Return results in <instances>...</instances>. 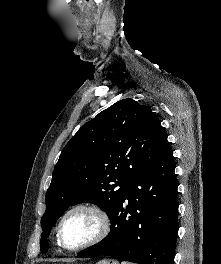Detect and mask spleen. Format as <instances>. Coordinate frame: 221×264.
I'll list each match as a JSON object with an SVG mask.
<instances>
[{
    "mask_svg": "<svg viewBox=\"0 0 221 264\" xmlns=\"http://www.w3.org/2000/svg\"><path fill=\"white\" fill-rule=\"evenodd\" d=\"M121 264H131V263L123 261V262H121Z\"/></svg>",
    "mask_w": 221,
    "mask_h": 264,
    "instance_id": "obj_1",
    "label": "spleen"
}]
</instances>
